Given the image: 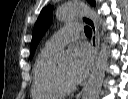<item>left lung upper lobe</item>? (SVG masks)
Here are the masks:
<instances>
[{
  "instance_id": "5c2ea615",
  "label": "left lung upper lobe",
  "mask_w": 128,
  "mask_h": 99,
  "mask_svg": "<svg viewBox=\"0 0 128 99\" xmlns=\"http://www.w3.org/2000/svg\"><path fill=\"white\" fill-rule=\"evenodd\" d=\"M92 5H95L94 0H88ZM52 20V7L47 6L42 9L33 29V37L30 45V59L33 57L35 49L41 40L42 36L50 26Z\"/></svg>"
}]
</instances>
